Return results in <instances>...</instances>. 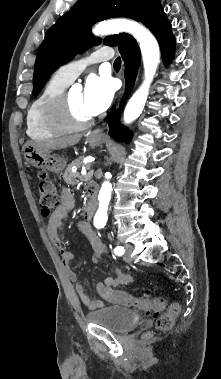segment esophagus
<instances>
[{"label": "esophagus", "instance_id": "1", "mask_svg": "<svg viewBox=\"0 0 221 379\" xmlns=\"http://www.w3.org/2000/svg\"><path fill=\"white\" fill-rule=\"evenodd\" d=\"M124 88H125V86H123V89L120 92V96L124 93ZM103 131H104L103 128H98V129L94 130L92 134L94 136H102L103 135Z\"/></svg>", "mask_w": 221, "mask_h": 379}]
</instances>
